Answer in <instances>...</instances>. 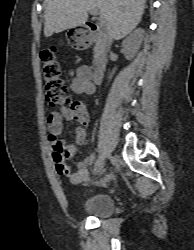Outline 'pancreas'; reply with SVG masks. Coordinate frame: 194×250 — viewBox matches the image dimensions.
I'll use <instances>...</instances> for the list:
<instances>
[{
	"label": "pancreas",
	"instance_id": "pancreas-1",
	"mask_svg": "<svg viewBox=\"0 0 194 250\" xmlns=\"http://www.w3.org/2000/svg\"><path fill=\"white\" fill-rule=\"evenodd\" d=\"M97 50H98V45L94 48V57H96V55H97Z\"/></svg>",
	"mask_w": 194,
	"mask_h": 250
}]
</instances>
